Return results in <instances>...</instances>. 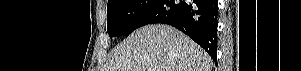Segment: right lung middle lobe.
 <instances>
[{
    "label": "right lung middle lobe",
    "instance_id": "dd1d6c3e",
    "mask_svg": "<svg viewBox=\"0 0 301 71\" xmlns=\"http://www.w3.org/2000/svg\"><path fill=\"white\" fill-rule=\"evenodd\" d=\"M158 0H108L107 32L110 38L129 35Z\"/></svg>",
    "mask_w": 301,
    "mask_h": 71
}]
</instances>
